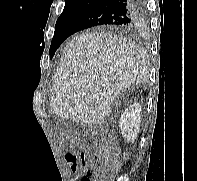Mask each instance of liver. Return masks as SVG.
Segmentation results:
<instances>
[{"label": "liver", "mask_w": 197, "mask_h": 181, "mask_svg": "<svg viewBox=\"0 0 197 181\" xmlns=\"http://www.w3.org/2000/svg\"><path fill=\"white\" fill-rule=\"evenodd\" d=\"M148 81V56L137 45L110 33L84 32L64 48L50 111L84 126L104 124L119 94Z\"/></svg>", "instance_id": "6515ba94"}]
</instances>
